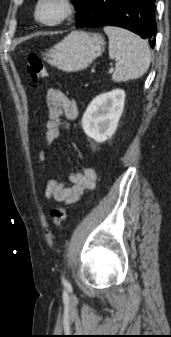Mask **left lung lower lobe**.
Wrapping results in <instances>:
<instances>
[{
    "mask_svg": "<svg viewBox=\"0 0 171 337\" xmlns=\"http://www.w3.org/2000/svg\"><path fill=\"white\" fill-rule=\"evenodd\" d=\"M156 0H88L76 27L118 26L142 38L154 47L157 32Z\"/></svg>",
    "mask_w": 171,
    "mask_h": 337,
    "instance_id": "obj_1",
    "label": "left lung lower lobe"
}]
</instances>
